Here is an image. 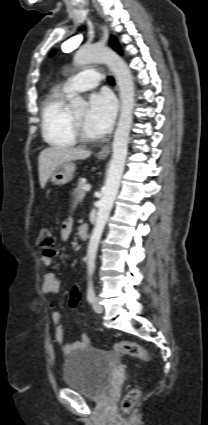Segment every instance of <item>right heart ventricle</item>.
Wrapping results in <instances>:
<instances>
[{"mask_svg":"<svg viewBox=\"0 0 208 425\" xmlns=\"http://www.w3.org/2000/svg\"><path fill=\"white\" fill-rule=\"evenodd\" d=\"M69 93L53 90L41 106V130L44 140L53 147H73L76 138L72 131L71 112L67 106Z\"/></svg>","mask_w":208,"mask_h":425,"instance_id":"obj_1","label":"right heart ventricle"}]
</instances>
